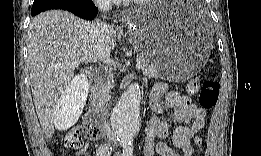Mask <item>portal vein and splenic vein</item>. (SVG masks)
I'll return each instance as SVG.
<instances>
[{
	"instance_id": "1",
	"label": "portal vein and splenic vein",
	"mask_w": 261,
	"mask_h": 156,
	"mask_svg": "<svg viewBox=\"0 0 261 156\" xmlns=\"http://www.w3.org/2000/svg\"><path fill=\"white\" fill-rule=\"evenodd\" d=\"M79 65H80V61H74L69 63L67 66L70 68H75L78 67ZM142 67H143V63L137 60L136 68L141 69Z\"/></svg>"
}]
</instances>
